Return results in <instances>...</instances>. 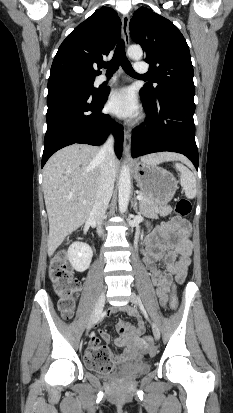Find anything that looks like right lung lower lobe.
I'll return each mask as SVG.
<instances>
[{"instance_id":"right-lung-lower-lobe-1","label":"right lung lower lobe","mask_w":233,"mask_h":413,"mask_svg":"<svg viewBox=\"0 0 233 413\" xmlns=\"http://www.w3.org/2000/svg\"><path fill=\"white\" fill-rule=\"evenodd\" d=\"M108 94L109 90H105L95 96L74 86L48 89L42 167L53 153L65 146L74 143L101 145L110 130L116 138V155L121 158L123 129L109 115L100 113Z\"/></svg>"}]
</instances>
